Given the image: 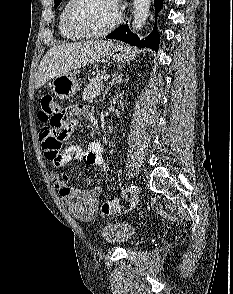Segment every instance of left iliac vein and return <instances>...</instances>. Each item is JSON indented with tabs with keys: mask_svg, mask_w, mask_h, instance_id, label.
Segmentation results:
<instances>
[{
	"mask_svg": "<svg viewBox=\"0 0 233 294\" xmlns=\"http://www.w3.org/2000/svg\"><path fill=\"white\" fill-rule=\"evenodd\" d=\"M137 202H140V194L136 193L134 197H132V201H130V207L128 208L129 212H134L137 209Z\"/></svg>",
	"mask_w": 233,
	"mask_h": 294,
	"instance_id": "obj_1",
	"label": "left iliac vein"
}]
</instances>
